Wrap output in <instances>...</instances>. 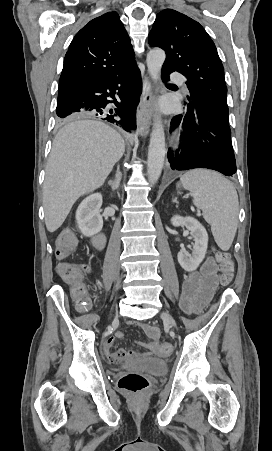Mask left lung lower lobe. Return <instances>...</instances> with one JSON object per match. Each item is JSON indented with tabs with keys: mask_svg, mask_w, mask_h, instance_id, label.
I'll return each instance as SVG.
<instances>
[{
	"mask_svg": "<svg viewBox=\"0 0 272 451\" xmlns=\"http://www.w3.org/2000/svg\"><path fill=\"white\" fill-rule=\"evenodd\" d=\"M172 71L162 68L163 81L169 80ZM195 110L186 111L172 119V127L183 126L180 135L182 144L176 150V157L168 153L173 170L208 168L231 176L236 172V161L231 143L229 122L198 102Z\"/></svg>",
	"mask_w": 272,
	"mask_h": 451,
	"instance_id": "left-lung-lower-lobe-1",
	"label": "left lung lower lobe"
}]
</instances>
